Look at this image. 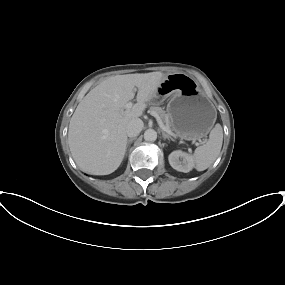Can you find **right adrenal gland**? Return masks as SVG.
Masks as SVG:
<instances>
[{"label": "right adrenal gland", "instance_id": "obj_1", "mask_svg": "<svg viewBox=\"0 0 285 285\" xmlns=\"http://www.w3.org/2000/svg\"><path fill=\"white\" fill-rule=\"evenodd\" d=\"M133 140H135V138H130L127 141V148L130 147V144L133 142Z\"/></svg>", "mask_w": 285, "mask_h": 285}]
</instances>
